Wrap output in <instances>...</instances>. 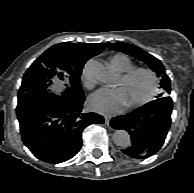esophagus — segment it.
<instances>
[{"label": "esophagus", "instance_id": "esophagus-1", "mask_svg": "<svg viewBox=\"0 0 194 193\" xmlns=\"http://www.w3.org/2000/svg\"><path fill=\"white\" fill-rule=\"evenodd\" d=\"M110 119H111V117H110V116H104V121H105V124L109 125V123H110Z\"/></svg>", "mask_w": 194, "mask_h": 193}]
</instances>
